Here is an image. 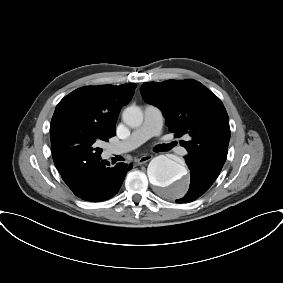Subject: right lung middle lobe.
I'll return each mask as SVG.
<instances>
[{"label": "right lung middle lobe", "instance_id": "obj_1", "mask_svg": "<svg viewBox=\"0 0 283 283\" xmlns=\"http://www.w3.org/2000/svg\"><path fill=\"white\" fill-rule=\"evenodd\" d=\"M68 133V154L71 163L80 162L90 156H99L102 149L101 141H107L109 135L95 128L70 127Z\"/></svg>", "mask_w": 283, "mask_h": 283}]
</instances>
